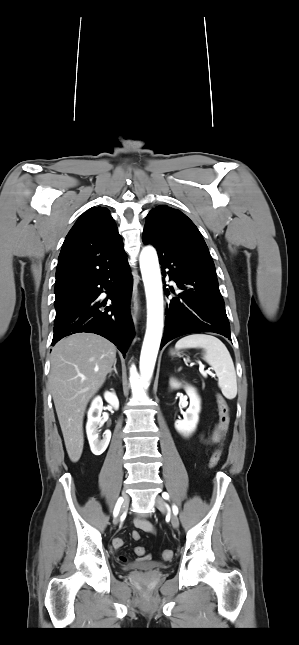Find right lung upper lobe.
Wrapping results in <instances>:
<instances>
[{"label": "right lung upper lobe", "mask_w": 299, "mask_h": 645, "mask_svg": "<svg viewBox=\"0 0 299 645\" xmlns=\"http://www.w3.org/2000/svg\"><path fill=\"white\" fill-rule=\"evenodd\" d=\"M126 257L109 210L91 208L80 216L65 238L54 291L79 286L116 268Z\"/></svg>", "instance_id": "1"}]
</instances>
